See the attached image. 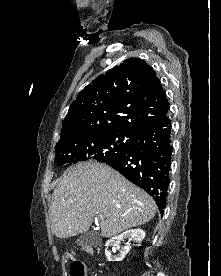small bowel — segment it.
Here are the masks:
<instances>
[{
    "label": "small bowel",
    "mask_w": 221,
    "mask_h": 276,
    "mask_svg": "<svg viewBox=\"0 0 221 276\" xmlns=\"http://www.w3.org/2000/svg\"><path fill=\"white\" fill-rule=\"evenodd\" d=\"M87 251H91L89 248L86 249Z\"/></svg>",
    "instance_id": "c3829d8e"
}]
</instances>
